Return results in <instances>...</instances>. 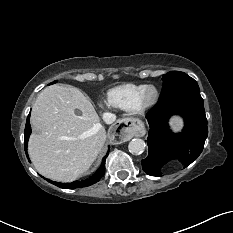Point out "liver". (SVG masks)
Listing matches in <instances>:
<instances>
[{
  "label": "liver",
  "instance_id": "liver-1",
  "mask_svg": "<svg viewBox=\"0 0 233 233\" xmlns=\"http://www.w3.org/2000/svg\"><path fill=\"white\" fill-rule=\"evenodd\" d=\"M37 133L28 152L35 169L58 182H72L88 171L103 148L106 136L87 97L73 86L43 89L31 112Z\"/></svg>",
  "mask_w": 233,
  "mask_h": 233
}]
</instances>
